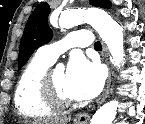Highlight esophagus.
Masks as SVG:
<instances>
[{
	"label": "esophagus",
	"instance_id": "34e87169",
	"mask_svg": "<svg viewBox=\"0 0 145 124\" xmlns=\"http://www.w3.org/2000/svg\"><path fill=\"white\" fill-rule=\"evenodd\" d=\"M102 55H103L106 63L108 64L107 49L104 45H103ZM110 85H111V71L109 72V76H108L104 91L102 92L101 96L97 99V102H96L97 105L102 104L105 101V99L108 97L109 91H110ZM89 119H90V115L86 112L78 113L75 116V122L77 124H86V123H88Z\"/></svg>",
	"mask_w": 145,
	"mask_h": 124
}]
</instances>
